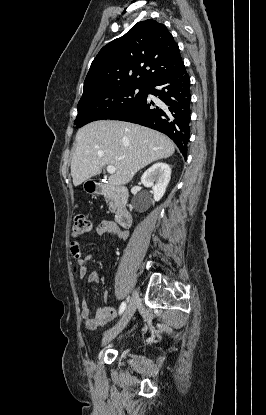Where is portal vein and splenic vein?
Masks as SVG:
<instances>
[{
  "label": "portal vein and splenic vein",
  "instance_id": "18ae733b",
  "mask_svg": "<svg viewBox=\"0 0 266 415\" xmlns=\"http://www.w3.org/2000/svg\"><path fill=\"white\" fill-rule=\"evenodd\" d=\"M106 169L109 174H114L116 171L113 165H107Z\"/></svg>",
  "mask_w": 266,
  "mask_h": 415
}]
</instances>
